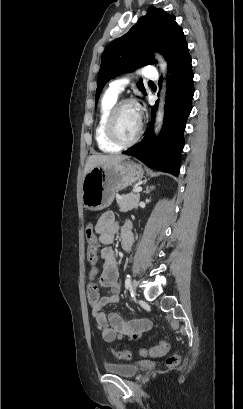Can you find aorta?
I'll return each instance as SVG.
<instances>
[{"label":"aorta","instance_id":"762f6f07","mask_svg":"<svg viewBox=\"0 0 243 409\" xmlns=\"http://www.w3.org/2000/svg\"><path fill=\"white\" fill-rule=\"evenodd\" d=\"M156 59L158 61L160 70L162 71L163 75L165 76L166 72H167V62L165 61V59L163 58V56L157 54L156 55ZM163 118H164V100L163 98L161 99L160 103H159V107H158V111H157V117H156V131L159 132L161 129V126L163 124Z\"/></svg>","mask_w":243,"mask_h":409}]
</instances>
